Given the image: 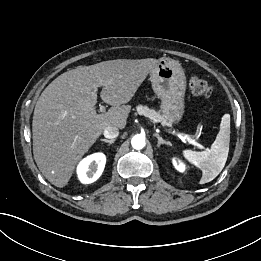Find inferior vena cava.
Returning <instances> with one entry per match:
<instances>
[{"label": "inferior vena cava", "mask_w": 261, "mask_h": 261, "mask_svg": "<svg viewBox=\"0 0 261 261\" xmlns=\"http://www.w3.org/2000/svg\"><path fill=\"white\" fill-rule=\"evenodd\" d=\"M103 135L105 138L114 139L119 135V129L114 126H108L104 129Z\"/></svg>", "instance_id": "1"}]
</instances>
